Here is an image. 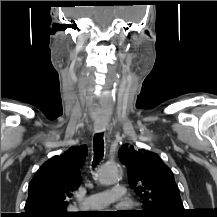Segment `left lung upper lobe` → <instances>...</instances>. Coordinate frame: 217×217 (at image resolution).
I'll use <instances>...</instances> for the list:
<instances>
[{"instance_id":"obj_1","label":"left lung upper lobe","mask_w":217,"mask_h":217,"mask_svg":"<svg viewBox=\"0 0 217 217\" xmlns=\"http://www.w3.org/2000/svg\"><path fill=\"white\" fill-rule=\"evenodd\" d=\"M128 169L129 185L143 200L146 217H183L181 202L172 171L150 151L123 145L118 152Z\"/></svg>"}]
</instances>
